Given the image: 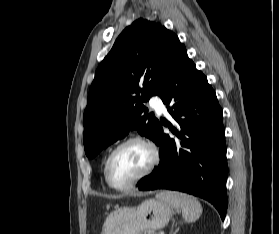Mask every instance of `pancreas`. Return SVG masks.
<instances>
[{"mask_svg": "<svg viewBox=\"0 0 279 234\" xmlns=\"http://www.w3.org/2000/svg\"><path fill=\"white\" fill-rule=\"evenodd\" d=\"M148 234H161V233H154L149 231Z\"/></svg>", "mask_w": 279, "mask_h": 234, "instance_id": "obj_1", "label": "pancreas"}]
</instances>
